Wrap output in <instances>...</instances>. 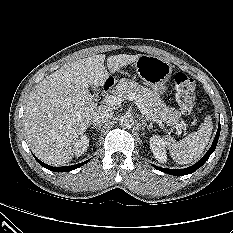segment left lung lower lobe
Listing matches in <instances>:
<instances>
[{"instance_id":"1","label":"left lung lower lobe","mask_w":233,"mask_h":233,"mask_svg":"<svg viewBox=\"0 0 233 233\" xmlns=\"http://www.w3.org/2000/svg\"><path fill=\"white\" fill-rule=\"evenodd\" d=\"M220 123L218 126V130L215 136V139L210 147V149L207 151V153L194 165L188 167V168H184V169H166V168H161L158 166L153 165L157 170H160L162 172L174 175V176H183L186 174H191L194 171H196L198 168H200L205 162L206 160L209 158V156L211 155V153L215 150L218 139H219V135H220Z\"/></svg>"}]
</instances>
